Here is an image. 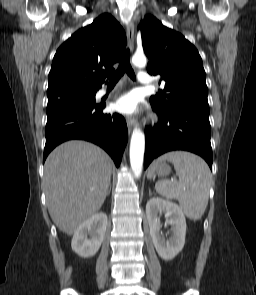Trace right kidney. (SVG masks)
Wrapping results in <instances>:
<instances>
[{
    "mask_svg": "<svg viewBox=\"0 0 256 295\" xmlns=\"http://www.w3.org/2000/svg\"><path fill=\"white\" fill-rule=\"evenodd\" d=\"M106 227L105 213L100 212L91 216L74 232L72 250L83 258L94 256L104 240Z\"/></svg>",
    "mask_w": 256,
    "mask_h": 295,
    "instance_id": "right-kidney-1",
    "label": "right kidney"
}]
</instances>
